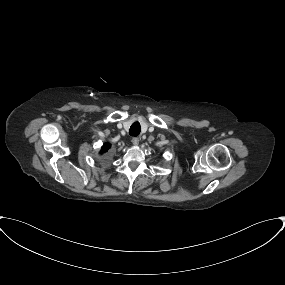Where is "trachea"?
<instances>
[{
  "label": "trachea",
  "instance_id": "3493384b",
  "mask_svg": "<svg viewBox=\"0 0 285 285\" xmlns=\"http://www.w3.org/2000/svg\"><path fill=\"white\" fill-rule=\"evenodd\" d=\"M141 132V126H140V123L139 122H134L131 127H130V130H129V134L131 136H138Z\"/></svg>",
  "mask_w": 285,
  "mask_h": 285
}]
</instances>
